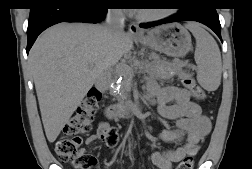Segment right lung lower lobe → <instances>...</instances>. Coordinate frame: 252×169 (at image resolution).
<instances>
[{"label": "right lung lower lobe", "mask_w": 252, "mask_h": 169, "mask_svg": "<svg viewBox=\"0 0 252 169\" xmlns=\"http://www.w3.org/2000/svg\"><path fill=\"white\" fill-rule=\"evenodd\" d=\"M110 2L94 0H38L30 8L27 37L28 53L37 36L60 22L97 23L105 18Z\"/></svg>", "instance_id": "right-lung-lower-lobe-1"}]
</instances>
